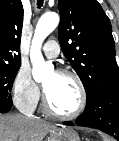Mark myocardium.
I'll list each match as a JSON object with an SVG mask.
<instances>
[{"label":"myocardium","instance_id":"obj_1","mask_svg":"<svg viewBox=\"0 0 119 141\" xmlns=\"http://www.w3.org/2000/svg\"><path fill=\"white\" fill-rule=\"evenodd\" d=\"M56 73L58 75H62V76H69L71 78H73L79 88V92H80V102H79V105L77 107V109L72 112V113H60V112H57L56 110H54L52 108V106L50 105L48 99H47V96H46V93L44 92L43 94V108L45 110V112L47 114H49L50 116L52 117H55V118H59V119H64V120H71V119H75L77 117H79L86 109V106H87V100H88V97H87V91H86V88H85V85L82 81V79L80 78V76L71 71V70H68V69H58L56 71Z\"/></svg>","mask_w":119,"mask_h":141}]
</instances>
